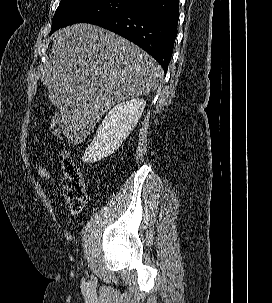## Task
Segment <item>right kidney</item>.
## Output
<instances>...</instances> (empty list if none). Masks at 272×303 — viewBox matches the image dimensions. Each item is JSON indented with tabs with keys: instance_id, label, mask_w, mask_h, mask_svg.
<instances>
[{
	"instance_id": "ca27d5eb",
	"label": "right kidney",
	"mask_w": 272,
	"mask_h": 303,
	"mask_svg": "<svg viewBox=\"0 0 272 303\" xmlns=\"http://www.w3.org/2000/svg\"><path fill=\"white\" fill-rule=\"evenodd\" d=\"M145 105L143 99H131L113 107L85 151L83 162L94 163L113 154L136 126Z\"/></svg>"
}]
</instances>
